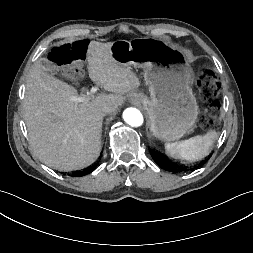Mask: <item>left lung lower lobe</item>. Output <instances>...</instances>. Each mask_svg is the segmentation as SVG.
I'll return each mask as SVG.
<instances>
[{"mask_svg": "<svg viewBox=\"0 0 253 253\" xmlns=\"http://www.w3.org/2000/svg\"><path fill=\"white\" fill-rule=\"evenodd\" d=\"M152 157L154 161L157 163V165L170 172L179 173L184 171V168L181 166H178L174 164L173 162L169 161L168 159L161 157L155 153H152ZM204 164V162H201L200 165Z\"/></svg>", "mask_w": 253, "mask_h": 253, "instance_id": "left-lung-lower-lobe-1", "label": "left lung lower lobe"}]
</instances>
